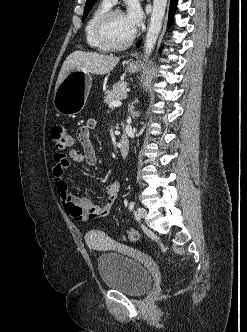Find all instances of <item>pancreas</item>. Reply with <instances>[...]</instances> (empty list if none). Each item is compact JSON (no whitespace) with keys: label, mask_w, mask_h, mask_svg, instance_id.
Listing matches in <instances>:
<instances>
[{"label":"pancreas","mask_w":247,"mask_h":332,"mask_svg":"<svg viewBox=\"0 0 247 332\" xmlns=\"http://www.w3.org/2000/svg\"><path fill=\"white\" fill-rule=\"evenodd\" d=\"M127 97V83L118 82L113 85L111 90H107L104 96V102L110 104L112 101L121 100Z\"/></svg>","instance_id":"cf45deb5"}]
</instances>
